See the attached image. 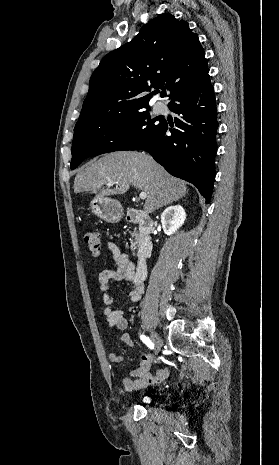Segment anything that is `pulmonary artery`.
I'll return each mask as SVG.
<instances>
[{
    "instance_id": "e3ab8cb5",
    "label": "pulmonary artery",
    "mask_w": 279,
    "mask_h": 465,
    "mask_svg": "<svg viewBox=\"0 0 279 465\" xmlns=\"http://www.w3.org/2000/svg\"><path fill=\"white\" fill-rule=\"evenodd\" d=\"M155 107L158 112H164L166 110V105L162 102H158Z\"/></svg>"
}]
</instances>
